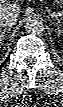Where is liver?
I'll return each mask as SVG.
<instances>
[{
	"mask_svg": "<svg viewBox=\"0 0 63 107\" xmlns=\"http://www.w3.org/2000/svg\"><path fill=\"white\" fill-rule=\"evenodd\" d=\"M1 11H8L15 14L20 13V5L18 1H11V0H1L0 1V13Z\"/></svg>",
	"mask_w": 63,
	"mask_h": 107,
	"instance_id": "obj_1",
	"label": "liver"
}]
</instances>
